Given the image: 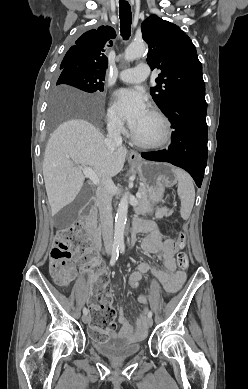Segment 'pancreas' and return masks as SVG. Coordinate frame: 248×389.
<instances>
[{
  "label": "pancreas",
  "mask_w": 248,
  "mask_h": 389,
  "mask_svg": "<svg viewBox=\"0 0 248 389\" xmlns=\"http://www.w3.org/2000/svg\"><path fill=\"white\" fill-rule=\"evenodd\" d=\"M139 192L141 194V197L138 198L139 206L135 208L136 211L138 213H141V214L153 212L154 209H153V206L149 200L146 187L144 185L140 186ZM155 210H156V213L163 214V215H169L173 212L172 210H169L166 207H164V208L157 207Z\"/></svg>",
  "instance_id": "cf45deb5"
}]
</instances>
